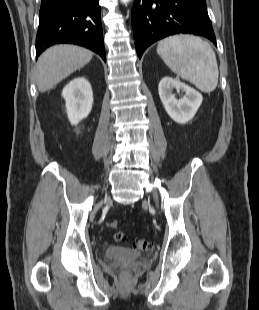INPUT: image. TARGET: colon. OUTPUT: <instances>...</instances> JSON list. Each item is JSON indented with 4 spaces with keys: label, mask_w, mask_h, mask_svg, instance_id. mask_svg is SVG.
<instances>
[{
    "label": "colon",
    "mask_w": 259,
    "mask_h": 310,
    "mask_svg": "<svg viewBox=\"0 0 259 310\" xmlns=\"http://www.w3.org/2000/svg\"><path fill=\"white\" fill-rule=\"evenodd\" d=\"M108 227L112 230H115L113 232V239L116 242H123L125 241V235L123 232L121 231H117V227H118V222L117 221H110L108 223ZM151 247V242L149 240H145V239H139L137 241H135L134 243V249L138 250V251H145L148 250Z\"/></svg>",
    "instance_id": "obj_1"
}]
</instances>
